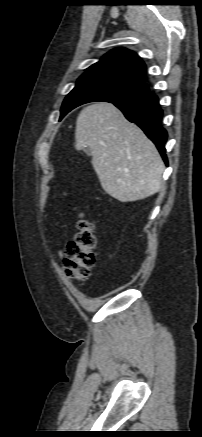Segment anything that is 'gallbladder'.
I'll return each instance as SVG.
<instances>
[{
  "label": "gallbladder",
  "instance_id": "bac80fb5",
  "mask_svg": "<svg viewBox=\"0 0 202 437\" xmlns=\"http://www.w3.org/2000/svg\"><path fill=\"white\" fill-rule=\"evenodd\" d=\"M83 151L85 152L86 155L91 156V150L89 147L83 148Z\"/></svg>",
  "mask_w": 202,
  "mask_h": 437
}]
</instances>
